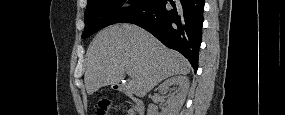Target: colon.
<instances>
[{"mask_svg":"<svg viewBox=\"0 0 285 115\" xmlns=\"http://www.w3.org/2000/svg\"><path fill=\"white\" fill-rule=\"evenodd\" d=\"M109 107V103L108 102H102L100 104V109H99V114H104L105 113V110ZM128 113H131L129 110H128Z\"/></svg>","mask_w":285,"mask_h":115,"instance_id":"5ec220e1","label":"colon"}]
</instances>
